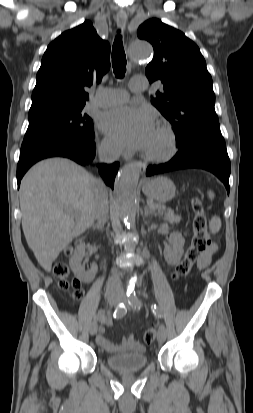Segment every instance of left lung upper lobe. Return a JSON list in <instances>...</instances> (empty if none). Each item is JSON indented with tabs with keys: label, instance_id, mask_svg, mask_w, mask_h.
Instances as JSON below:
<instances>
[{
	"label": "left lung upper lobe",
	"instance_id": "5c2ea615",
	"mask_svg": "<svg viewBox=\"0 0 253 413\" xmlns=\"http://www.w3.org/2000/svg\"><path fill=\"white\" fill-rule=\"evenodd\" d=\"M137 35L153 45L154 58L145 73L151 83L161 81L163 87L151 103L173 125L176 140L183 141L206 122L218 125L212 78L198 46L156 18L144 22Z\"/></svg>",
	"mask_w": 253,
	"mask_h": 413
}]
</instances>
